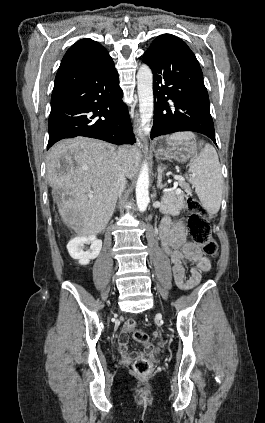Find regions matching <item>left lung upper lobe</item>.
<instances>
[{
	"label": "left lung upper lobe",
	"instance_id": "5c2ea615",
	"mask_svg": "<svg viewBox=\"0 0 265 423\" xmlns=\"http://www.w3.org/2000/svg\"><path fill=\"white\" fill-rule=\"evenodd\" d=\"M164 35H166V34H163V35H161V36H158L154 41H156L157 39H159V38H161V37H163Z\"/></svg>",
	"mask_w": 265,
	"mask_h": 423
}]
</instances>
